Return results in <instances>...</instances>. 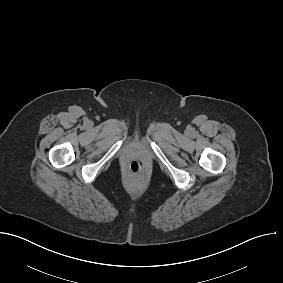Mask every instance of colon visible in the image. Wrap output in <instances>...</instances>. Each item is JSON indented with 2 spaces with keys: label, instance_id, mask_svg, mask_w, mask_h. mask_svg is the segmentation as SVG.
Listing matches in <instances>:
<instances>
[{
  "label": "colon",
  "instance_id": "colon-1",
  "mask_svg": "<svg viewBox=\"0 0 283 283\" xmlns=\"http://www.w3.org/2000/svg\"><path fill=\"white\" fill-rule=\"evenodd\" d=\"M129 172L134 176H140L143 172L141 163L138 161H133L129 166Z\"/></svg>",
  "mask_w": 283,
  "mask_h": 283
}]
</instances>
